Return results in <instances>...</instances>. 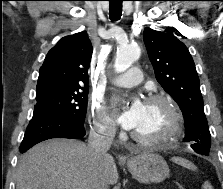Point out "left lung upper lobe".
<instances>
[{"label":"left lung upper lobe","instance_id":"5c2ea615","mask_svg":"<svg viewBox=\"0 0 223 189\" xmlns=\"http://www.w3.org/2000/svg\"><path fill=\"white\" fill-rule=\"evenodd\" d=\"M143 40L155 77L179 105L185 121L184 141L199 154L208 155L211 135L203 108L194 61L184 43L174 35L146 28Z\"/></svg>","mask_w":223,"mask_h":189}]
</instances>
